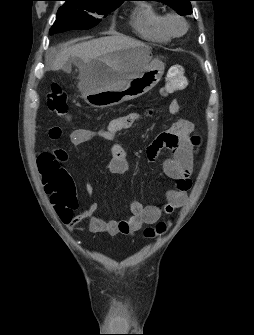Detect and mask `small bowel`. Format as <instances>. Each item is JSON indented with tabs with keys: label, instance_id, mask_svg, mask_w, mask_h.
I'll return each mask as SVG.
<instances>
[{
	"label": "small bowel",
	"instance_id": "1",
	"mask_svg": "<svg viewBox=\"0 0 254 335\" xmlns=\"http://www.w3.org/2000/svg\"><path fill=\"white\" fill-rule=\"evenodd\" d=\"M179 98H172L165 115H180L181 109ZM138 119V114L130 113L112 119L105 129H75L70 134V142L78 146L93 139H102L110 144L111 158L108 170L113 174H124L129 165L126 152L117 140L119 132L129 129ZM193 125L189 120L179 119L165 133L160 134L151 142L147 149V156L154 160L161 150L168 149L170 157L163 164L164 173L176 181V186L166 193L167 203L163 206H143L139 201L130 203L131 217L126 220H103L94 216L98 210L97 203L89 204L83 211L75 214V206L65 204L61 208L60 217L68 228H74L85 219L90 220V230L95 233H106L111 236L118 234H129L139 231L143 225H153L159 221L162 215L170 214L174 209L182 207L187 200V192L191 188L190 175L193 168V157L190 144V133ZM52 140L62 138V129L52 127L49 131ZM60 164L68 160L65 151L60 150L58 157ZM91 187L86 188L88 195ZM51 203H54L50 195Z\"/></svg>",
	"mask_w": 254,
	"mask_h": 335
}]
</instances>
